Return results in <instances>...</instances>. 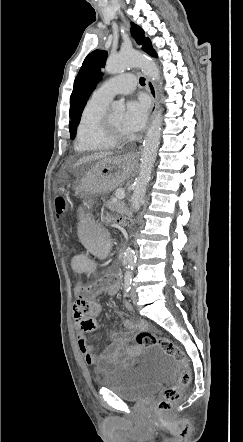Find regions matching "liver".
<instances>
[{
	"mask_svg": "<svg viewBox=\"0 0 243 442\" xmlns=\"http://www.w3.org/2000/svg\"><path fill=\"white\" fill-rule=\"evenodd\" d=\"M113 154L111 152H100V153H95L92 155H89L87 157H84L80 160H78L75 164L74 167H78L82 164L91 162V161H95V160H100V159H107V158H111Z\"/></svg>",
	"mask_w": 243,
	"mask_h": 442,
	"instance_id": "liver-1",
	"label": "liver"
}]
</instances>
